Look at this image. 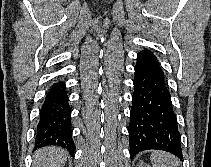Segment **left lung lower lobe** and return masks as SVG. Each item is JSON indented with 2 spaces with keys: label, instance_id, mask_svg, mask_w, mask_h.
I'll return each mask as SVG.
<instances>
[{
  "label": "left lung lower lobe",
  "instance_id": "obj_1",
  "mask_svg": "<svg viewBox=\"0 0 211 167\" xmlns=\"http://www.w3.org/2000/svg\"><path fill=\"white\" fill-rule=\"evenodd\" d=\"M129 123L130 154L157 149L182 158L181 135L164 72L150 50L140 51L134 66Z\"/></svg>",
  "mask_w": 211,
  "mask_h": 167
}]
</instances>
